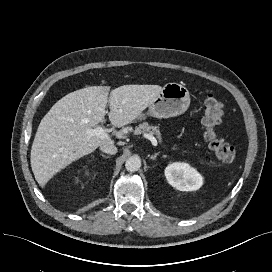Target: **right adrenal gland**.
Wrapping results in <instances>:
<instances>
[{
	"label": "right adrenal gland",
	"instance_id": "obj_1",
	"mask_svg": "<svg viewBox=\"0 0 272 272\" xmlns=\"http://www.w3.org/2000/svg\"><path fill=\"white\" fill-rule=\"evenodd\" d=\"M101 156H102L103 158H110V156H106V155H104V154H101Z\"/></svg>",
	"mask_w": 272,
	"mask_h": 272
}]
</instances>
